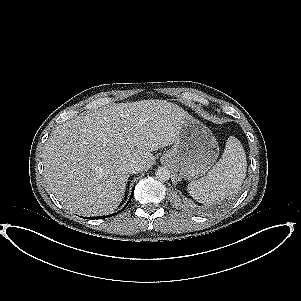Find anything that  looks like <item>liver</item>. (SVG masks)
<instances>
[{"label": "liver", "instance_id": "liver-1", "mask_svg": "<svg viewBox=\"0 0 301 301\" xmlns=\"http://www.w3.org/2000/svg\"><path fill=\"white\" fill-rule=\"evenodd\" d=\"M168 102H133L78 116L57 127L43 151L44 176L61 204L84 216L120 205L132 162L150 168L153 151L173 144L183 120Z\"/></svg>", "mask_w": 301, "mask_h": 301}]
</instances>
